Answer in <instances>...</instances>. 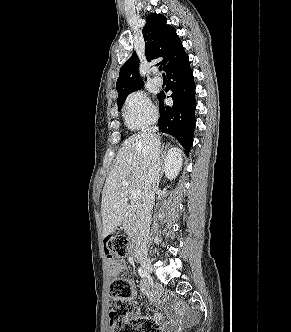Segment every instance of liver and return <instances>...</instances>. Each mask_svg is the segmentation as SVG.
<instances>
[{"label": "liver", "instance_id": "6515ba94", "mask_svg": "<svg viewBox=\"0 0 291 332\" xmlns=\"http://www.w3.org/2000/svg\"><path fill=\"white\" fill-rule=\"evenodd\" d=\"M157 140L160 146L159 136H157ZM146 150L147 144L142 134H136L124 141L117 154L115 164L102 191L103 238L113 233L122 223L126 210L125 200L128 194L132 190H139L141 193L143 191L146 173ZM177 152L181 153L178 149ZM165 164L163 165L162 162V168L166 171ZM123 181H127L128 184L123 186Z\"/></svg>", "mask_w": 291, "mask_h": 332}]
</instances>
